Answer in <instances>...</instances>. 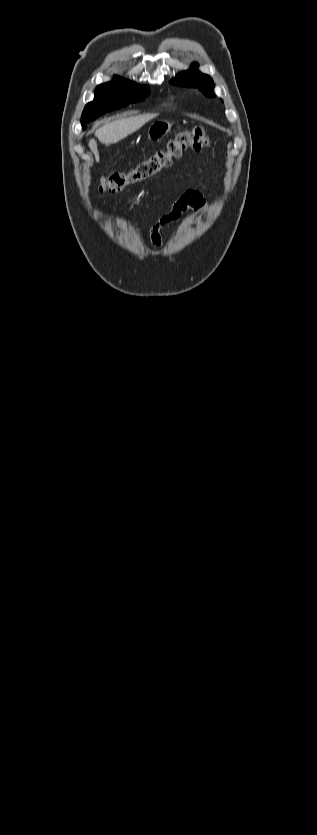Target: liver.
<instances>
[{
  "label": "liver",
  "mask_w": 317,
  "mask_h": 835,
  "mask_svg": "<svg viewBox=\"0 0 317 835\" xmlns=\"http://www.w3.org/2000/svg\"><path fill=\"white\" fill-rule=\"evenodd\" d=\"M154 117L155 116L152 114H142L107 122L96 130L95 136L103 144H115L139 130L144 124L152 120ZM89 147L93 152L96 161L99 162L100 158L95 139H91L89 141Z\"/></svg>",
  "instance_id": "obj_1"
}]
</instances>
